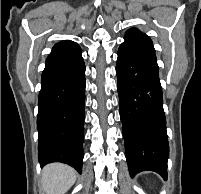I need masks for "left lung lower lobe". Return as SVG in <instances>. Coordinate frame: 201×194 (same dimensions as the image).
<instances>
[{"label":"left lung lower lobe","instance_id":"obj_1","mask_svg":"<svg viewBox=\"0 0 201 194\" xmlns=\"http://www.w3.org/2000/svg\"><path fill=\"white\" fill-rule=\"evenodd\" d=\"M116 73L130 175L155 171L167 179L169 146L155 52L124 41L118 50Z\"/></svg>","mask_w":201,"mask_h":194}]
</instances>
